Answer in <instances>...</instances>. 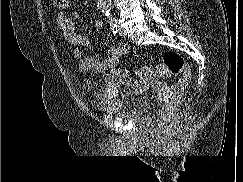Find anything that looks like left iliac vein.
Here are the masks:
<instances>
[{"label": "left iliac vein", "mask_w": 243, "mask_h": 182, "mask_svg": "<svg viewBox=\"0 0 243 182\" xmlns=\"http://www.w3.org/2000/svg\"><path fill=\"white\" fill-rule=\"evenodd\" d=\"M119 34H120V36H126L125 30L121 27H119Z\"/></svg>", "instance_id": "4c4485c4"}]
</instances>
